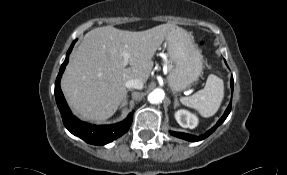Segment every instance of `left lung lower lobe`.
Here are the masks:
<instances>
[{
    "label": "left lung lower lobe",
    "mask_w": 287,
    "mask_h": 175,
    "mask_svg": "<svg viewBox=\"0 0 287 175\" xmlns=\"http://www.w3.org/2000/svg\"><path fill=\"white\" fill-rule=\"evenodd\" d=\"M231 88L233 90V77H231ZM230 110H231V102L228 105L224 115L219 119L217 124L201 136H195V135H190V134L181 133V132H170V133L173 134L174 136L178 137V138H181V139H184L187 141H191V142H197V141L203 140V139L207 138L210 134H212L216 130V128L218 126H220L225 121V119L227 118V116L230 113Z\"/></svg>",
    "instance_id": "left-lung-lower-lobe-1"
}]
</instances>
